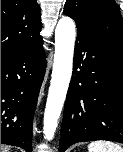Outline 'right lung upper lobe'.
<instances>
[{
    "label": "right lung upper lobe",
    "mask_w": 123,
    "mask_h": 152,
    "mask_svg": "<svg viewBox=\"0 0 123 152\" xmlns=\"http://www.w3.org/2000/svg\"><path fill=\"white\" fill-rule=\"evenodd\" d=\"M41 27L36 0H1V53L37 42Z\"/></svg>",
    "instance_id": "right-lung-upper-lobe-1"
}]
</instances>
